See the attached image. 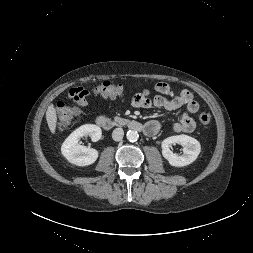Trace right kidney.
<instances>
[{
    "label": "right kidney",
    "instance_id": "right-kidney-1",
    "mask_svg": "<svg viewBox=\"0 0 253 253\" xmlns=\"http://www.w3.org/2000/svg\"><path fill=\"white\" fill-rule=\"evenodd\" d=\"M101 128L94 124H85L73 131L61 146L62 155L72 164L88 166L98 158V151L78 144L83 136H90L92 141L100 140Z\"/></svg>",
    "mask_w": 253,
    "mask_h": 253
}]
</instances>
